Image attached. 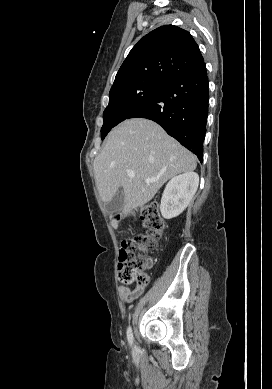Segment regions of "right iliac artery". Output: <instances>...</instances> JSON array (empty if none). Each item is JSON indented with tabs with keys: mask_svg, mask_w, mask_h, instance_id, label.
<instances>
[{
	"mask_svg": "<svg viewBox=\"0 0 272 389\" xmlns=\"http://www.w3.org/2000/svg\"><path fill=\"white\" fill-rule=\"evenodd\" d=\"M127 339H128L129 344L132 346V344H133V332H132L131 327H128V329H127Z\"/></svg>",
	"mask_w": 272,
	"mask_h": 389,
	"instance_id": "82829eb1",
	"label": "right iliac artery"
}]
</instances>
